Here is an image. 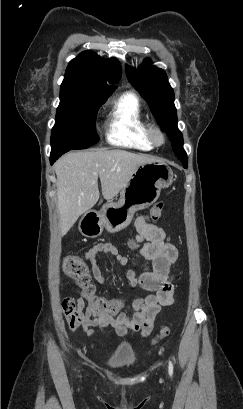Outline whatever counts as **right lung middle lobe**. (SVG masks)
<instances>
[{
	"mask_svg": "<svg viewBox=\"0 0 243 409\" xmlns=\"http://www.w3.org/2000/svg\"><path fill=\"white\" fill-rule=\"evenodd\" d=\"M106 100L60 96L51 133V152L86 149L98 143L96 114Z\"/></svg>",
	"mask_w": 243,
	"mask_h": 409,
	"instance_id": "obj_1",
	"label": "right lung middle lobe"
}]
</instances>
